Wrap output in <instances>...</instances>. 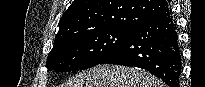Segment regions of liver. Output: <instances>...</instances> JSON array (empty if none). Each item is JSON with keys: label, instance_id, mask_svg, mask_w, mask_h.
Segmentation results:
<instances>
[{"label": "liver", "instance_id": "obj_1", "mask_svg": "<svg viewBox=\"0 0 205 87\" xmlns=\"http://www.w3.org/2000/svg\"><path fill=\"white\" fill-rule=\"evenodd\" d=\"M64 87H164L161 80L143 70L98 65L69 79Z\"/></svg>", "mask_w": 205, "mask_h": 87}]
</instances>
